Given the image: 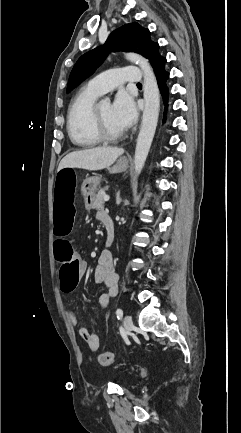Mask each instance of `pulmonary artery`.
Instances as JSON below:
<instances>
[{
    "label": "pulmonary artery",
    "mask_w": 241,
    "mask_h": 433,
    "mask_svg": "<svg viewBox=\"0 0 241 433\" xmlns=\"http://www.w3.org/2000/svg\"><path fill=\"white\" fill-rule=\"evenodd\" d=\"M142 71L138 66H122L103 72L90 79L86 88L91 92L102 95L117 89L123 84H137L141 82Z\"/></svg>",
    "instance_id": "e3ab8cb5"
}]
</instances>
